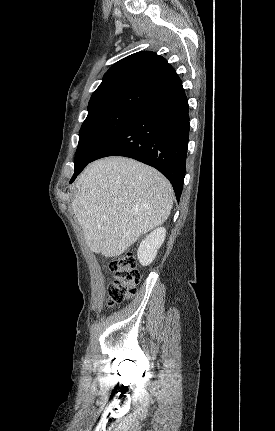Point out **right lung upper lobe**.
<instances>
[{
	"mask_svg": "<svg viewBox=\"0 0 275 431\" xmlns=\"http://www.w3.org/2000/svg\"><path fill=\"white\" fill-rule=\"evenodd\" d=\"M182 82L162 57L151 51L129 55L116 62L92 94L88 115L110 109H135L177 87Z\"/></svg>",
	"mask_w": 275,
	"mask_h": 431,
	"instance_id": "obj_1",
	"label": "right lung upper lobe"
}]
</instances>
